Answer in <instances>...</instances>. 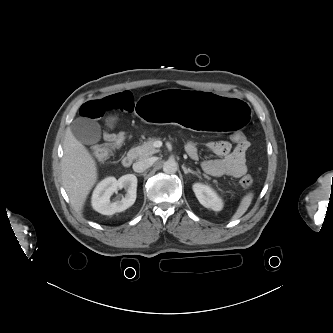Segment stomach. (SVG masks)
<instances>
[{
    "label": "stomach",
    "instance_id": "obj_1",
    "mask_svg": "<svg viewBox=\"0 0 333 333\" xmlns=\"http://www.w3.org/2000/svg\"><path fill=\"white\" fill-rule=\"evenodd\" d=\"M137 114L151 124L175 123L211 133H238L252 121L250 106L215 92L176 88L137 100Z\"/></svg>",
    "mask_w": 333,
    "mask_h": 333
}]
</instances>
